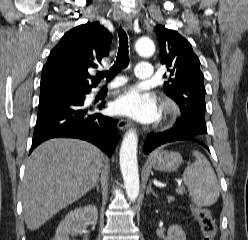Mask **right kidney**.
Masks as SVG:
<instances>
[{"instance_id":"ca27d5eb","label":"right kidney","mask_w":248,"mask_h":240,"mask_svg":"<svg viewBox=\"0 0 248 240\" xmlns=\"http://www.w3.org/2000/svg\"><path fill=\"white\" fill-rule=\"evenodd\" d=\"M98 211L94 205H87L69 212L59 223L54 240H69L70 233H83L87 225H95Z\"/></svg>"}]
</instances>
